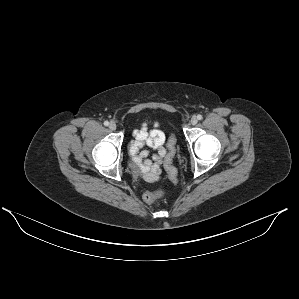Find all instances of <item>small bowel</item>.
I'll list each match as a JSON object with an SVG mask.
<instances>
[{"mask_svg": "<svg viewBox=\"0 0 299 299\" xmlns=\"http://www.w3.org/2000/svg\"><path fill=\"white\" fill-rule=\"evenodd\" d=\"M134 140L130 145V155L134 164L135 172L145 181L154 182L159 179L162 171V163L166 154L164 148L165 135L158 124L149 129L146 124L133 132ZM148 147L155 153L148 158Z\"/></svg>", "mask_w": 299, "mask_h": 299, "instance_id": "1", "label": "small bowel"}]
</instances>
